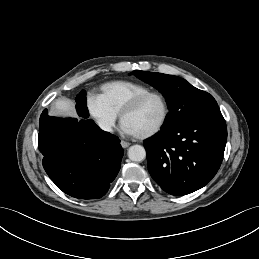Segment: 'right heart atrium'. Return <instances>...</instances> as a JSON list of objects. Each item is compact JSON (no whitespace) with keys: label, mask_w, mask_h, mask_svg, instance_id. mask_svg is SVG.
<instances>
[{"label":"right heart atrium","mask_w":259,"mask_h":259,"mask_svg":"<svg viewBox=\"0 0 259 259\" xmlns=\"http://www.w3.org/2000/svg\"><path fill=\"white\" fill-rule=\"evenodd\" d=\"M89 115L94 119L101 130L111 132L117 120L114 113L100 95L90 94L86 100Z\"/></svg>","instance_id":"d8ad5b80"}]
</instances>
